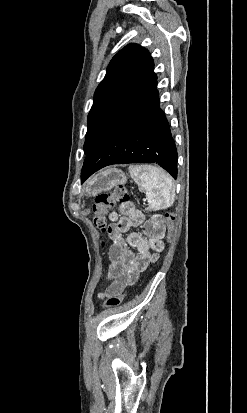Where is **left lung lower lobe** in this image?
<instances>
[{
  "instance_id": "left-lung-lower-lobe-1",
  "label": "left lung lower lobe",
  "mask_w": 247,
  "mask_h": 413,
  "mask_svg": "<svg viewBox=\"0 0 247 413\" xmlns=\"http://www.w3.org/2000/svg\"><path fill=\"white\" fill-rule=\"evenodd\" d=\"M125 163H156L177 178V150L159 107L157 79L87 153L81 182L105 166Z\"/></svg>"
}]
</instances>
